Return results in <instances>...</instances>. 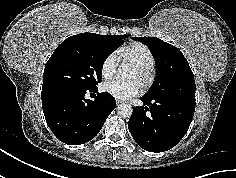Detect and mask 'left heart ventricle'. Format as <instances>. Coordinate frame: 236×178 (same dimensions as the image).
<instances>
[{
	"label": "left heart ventricle",
	"mask_w": 236,
	"mask_h": 178,
	"mask_svg": "<svg viewBox=\"0 0 236 178\" xmlns=\"http://www.w3.org/2000/svg\"><path fill=\"white\" fill-rule=\"evenodd\" d=\"M129 78L140 80L141 76L135 68H132L129 74Z\"/></svg>",
	"instance_id": "left-heart-ventricle-1"
}]
</instances>
